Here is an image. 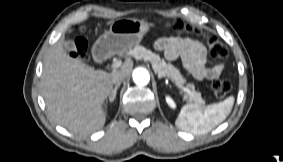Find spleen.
Here are the masks:
<instances>
[{
	"label": "spleen",
	"mask_w": 283,
	"mask_h": 162,
	"mask_svg": "<svg viewBox=\"0 0 283 162\" xmlns=\"http://www.w3.org/2000/svg\"><path fill=\"white\" fill-rule=\"evenodd\" d=\"M235 98L230 96L224 101L206 107L186 104L175 121L176 126L192 134H205L222 123L231 113Z\"/></svg>",
	"instance_id": "obj_1"
}]
</instances>
